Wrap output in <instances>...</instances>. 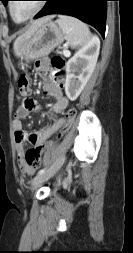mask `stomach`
Returning <instances> with one entry per match:
<instances>
[{
  "label": "stomach",
  "mask_w": 133,
  "mask_h": 253,
  "mask_svg": "<svg viewBox=\"0 0 133 253\" xmlns=\"http://www.w3.org/2000/svg\"><path fill=\"white\" fill-rule=\"evenodd\" d=\"M64 41L61 29L51 21L42 24L26 39L18 50V56L29 62L47 56Z\"/></svg>",
  "instance_id": "1"
}]
</instances>
